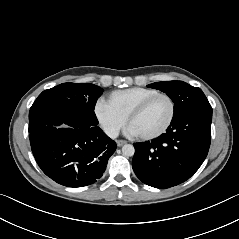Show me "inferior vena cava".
I'll return each instance as SVG.
<instances>
[{"label":"inferior vena cava","instance_id":"obj_1","mask_svg":"<svg viewBox=\"0 0 239 239\" xmlns=\"http://www.w3.org/2000/svg\"><path fill=\"white\" fill-rule=\"evenodd\" d=\"M103 131L105 134L110 137L111 139H115L119 135V130L117 127L111 126V125H106L103 127Z\"/></svg>","mask_w":239,"mask_h":239}]
</instances>
